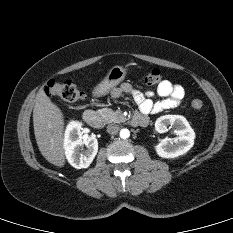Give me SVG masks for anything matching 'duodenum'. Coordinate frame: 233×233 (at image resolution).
<instances>
[{"label": "duodenum", "mask_w": 233, "mask_h": 233, "mask_svg": "<svg viewBox=\"0 0 233 233\" xmlns=\"http://www.w3.org/2000/svg\"><path fill=\"white\" fill-rule=\"evenodd\" d=\"M84 121L94 128H101L103 126L102 117L94 110H86L83 114ZM135 122L138 125H144L146 123L145 119L137 118Z\"/></svg>", "instance_id": "410a0bca"}]
</instances>
